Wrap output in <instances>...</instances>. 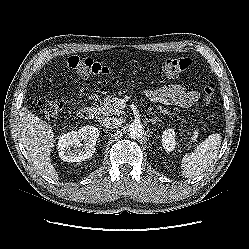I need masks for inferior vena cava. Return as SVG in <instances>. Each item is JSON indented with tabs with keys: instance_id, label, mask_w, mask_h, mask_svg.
Listing matches in <instances>:
<instances>
[{
	"instance_id": "obj_1",
	"label": "inferior vena cava",
	"mask_w": 249,
	"mask_h": 249,
	"mask_svg": "<svg viewBox=\"0 0 249 249\" xmlns=\"http://www.w3.org/2000/svg\"><path fill=\"white\" fill-rule=\"evenodd\" d=\"M101 125L106 128H117L121 125V121L115 118H105L101 120Z\"/></svg>"
}]
</instances>
